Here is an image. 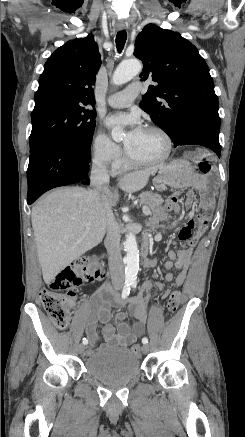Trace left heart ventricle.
<instances>
[{"mask_svg": "<svg viewBox=\"0 0 245 437\" xmlns=\"http://www.w3.org/2000/svg\"><path fill=\"white\" fill-rule=\"evenodd\" d=\"M127 150L134 158L153 159L163 153L164 141L158 133L143 129L134 144Z\"/></svg>", "mask_w": 245, "mask_h": 437, "instance_id": "left-heart-ventricle-1", "label": "left heart ventricle"}]
</instances>
